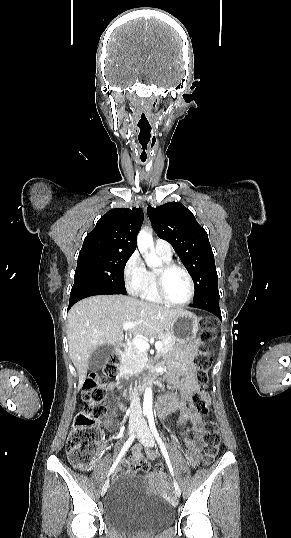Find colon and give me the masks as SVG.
<instances>
[{"label": "colon", "mask_w": 291, "mask_h": 538, "mask_svg": "<svg viewBox=\"0 0 291 538\" xmlns=\"http://www.w3.org/2000/svg\"><path fill=\"white\" fill-rule=\"evenodd\" d=\"M201 338L204 341L214 337L213 320L209 317L203 318L200 322ZM120 363L118 353L112 354L103 369L102 373H93L85 381L81 396L82 408L77 414L72 431L67 441V454L70 462L81 470L89 469L98 456V447L101 438V424L107 413L104 404L107 377L117 373ZM210 351L204 346L194 357L196 380L202 385V389L190 397L186 406L190 410L206 416L209 412L210 396L206 390L208 372L211 367ZM220 434L217 425L213 421H208L204 433V458L207 463L211 462L218 454L220 448ZM136 469L146 471L150 469V463L145 459H140L135 466ZM158 474L162 473V468L157 467Z\"/></svg>", "instance_id": "colon-1"}]
</instances>
